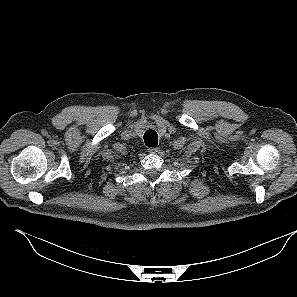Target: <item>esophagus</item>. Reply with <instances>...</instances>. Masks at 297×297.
Returning <instances> with one entry per match:
<instances>
[{"label":"esophagus","instance_id":"esophagus-1","mask_svg":"<svg viewBox=\"0 0 297 297\" xmlns=\"http://www.w3.org/2000/svg\"><path fill=\"white\" fill-rule=\"evenodd\" d=\"M148 152L153 153V154L158 153L159 152V147L149 148Z\"/></svg>","mask_w":297,"mask_h":297}]
</instances>
